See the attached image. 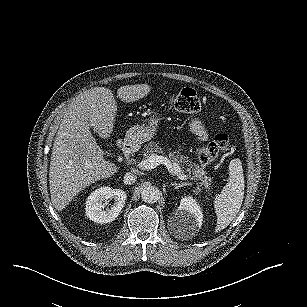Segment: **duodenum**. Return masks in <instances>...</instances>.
I'll return each mask as SVG.
<instances>
[{
	"mask_svg": "<svg viewBox=\"0 0 307 307\" xmlns=\"http://www.w3.org/2000/svg\"><path fill=\"white\" fill-rule=\"evenodd\" d=\"M136 146L132 141H127L123 145V152L127 158H130L135 152Z\"/></svg>",
	"mask_w": 307,
	"mask_h": 307,
	"instance_id": "duodenum-1",
	"label": "duodenum"
}]
</instances>
